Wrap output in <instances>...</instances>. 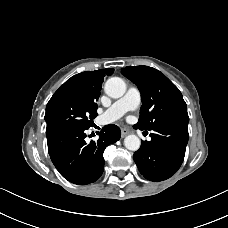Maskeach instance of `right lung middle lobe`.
<instances>
[{"instance_id":"obj_1","label":"right lung middle lobe","mask_w":228,"mask_h":228,"mask_svg":"<svg viewBox=\"0 0 228 228\" xmlns=\"http://www.w3.org/2000/svg\"><path fill=\"white\" fill-rule=\"evenodd\" d=\"M96 110V103L80 98L70 88L60 87L46 106V136L68 128H89Z\"/></svg>"}]
</instances>
